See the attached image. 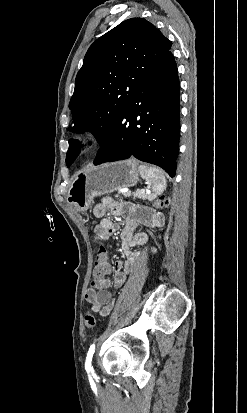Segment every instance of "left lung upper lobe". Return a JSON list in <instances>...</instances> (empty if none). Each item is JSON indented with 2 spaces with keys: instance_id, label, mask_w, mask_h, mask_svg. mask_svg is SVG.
<instances>
[{
  "instance_id": "left-lung-upper-lobe-1",
  "label": "left lung upper lobe",
  "mask_w": 247,
  "mask_h": 413,
  "mask_svg": "<svg viewBox=\"0 0 247 413\" xmlns=\"http://www.w3.org/2000/svg\"><path fill=\"white\" fill-rule=\"evenodd\" d=\"M172 42L142 18L128 19L88 49L69 103L75 133L92 132L101 145L147 75L170 50ZM69 141L66 164L79 155Z\"/></svg>"
}]
</instances>
